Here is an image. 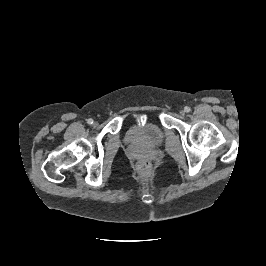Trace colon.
<instances>
[{
    "mask_svg": "<svg viewBox=\"0 0 266 266\" xmlns=\"http://www.w3.org/2000/svg\"><path fill=\"white\" fill-rule=\"evenodd\" d=\"M137 169L141 175L148 176L151 172V164L146 160H141L138 162Z\"/></svg>",
    "mask_w": 266,
    "mask_h": 266,
    "instance_id": "obj_1",
    "label": "colon"
}]
</instances>
